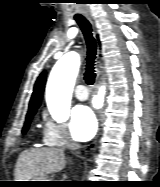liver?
Instances as JSON below:
<instances>
[{"mask_svg": "<svg viewBox=\"0 0 160 187\" xmlns=\"http://www.w3.org/2000/svg\"><path fill=\"white\" fill-rule=\"evenodd\" d=\"M66 164L64 151L58 148L29 149L17 160L15 181H30L61 171Z\"/></svg>", "mask_w": 160, "mask_h": 187, "instance_id": "1", "label": "liver"}]
</instances>
